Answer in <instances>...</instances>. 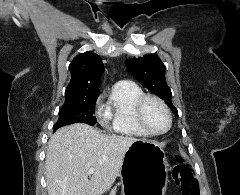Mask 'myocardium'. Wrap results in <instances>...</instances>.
<instances>
[{"label":"myocardium","instance_id":"f54148a6","mask_svg":"<svg viewBox=\"0 0 240 195\" xmlns=\"http://www.w3.org/2000/svg\"><path fill=\"white\" fill-rule=\"evenodd\" d=\"M149 102L157 103L162 108V110L164 111V113L166 115L167 125H166L165 129L162 130V131L154 130L153 128H151L149 126V124L146 121L145 107H146L147 103H149ZM136 119H137L138 124L141 126V128L147 134L152 135V136H160V135H163V134L167 133L170 130L171 125H172L171 112H170L169 108L167 107L166 103L162 99H160L159 97L154 96V95H150V94L143 95L137 101V104H136Z\"/></svg>","mask_w":240,"mask_h":195}]
</instances>
